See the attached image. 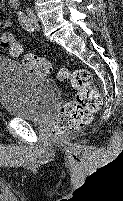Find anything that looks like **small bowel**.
Segmentation results:
<instances>
[{"label":"small bowel","instance_id":"small-bowel-1","mask_svg":"<svg viewBox=\"0 0 123 201\" xmlns=\"http://www.w3.org/2000/svg\"><path fill=\"white\" fill-rule=\"evenodd\" d=\"M11 27V21L7 17H1L0 18V38L1 43L6 35H11L7 33V30H9Z\"/></svg>","mask_w":123,"mask_h":201}]
</instances>
